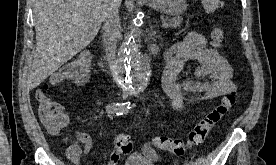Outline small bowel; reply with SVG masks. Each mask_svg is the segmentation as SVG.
<instances>
[{
	"label": "small bowel",
	"instance_id": "c3829d8e",
	"mask_svg": "<svg viewBox=\"0 0 276 165\" xmlns=\"http://www.w3.org/2000/svg\"><path fill=\"white\" fill-rule=\"evenodd\" d=\"M187 61L198 63L195 69V79L177 81V76ZM165 71L162 86L171 100L172 107L181 111L186 102H200L235 92L237 89L232 76L233 70L225 57L214 47H211L206 37L199 32L188 33L181 41L175 43L165 54ZM77 143L69 148V157L78 162L82 153L92 148L91 137L83 132L75 133ZM79 144L83 145V150ZM151 148L146 146V150ZM156 158L155 157L153 159ZM120 154L114 151L107 165H117Z\"/></svg>",
	"mask_w": 276,
	"mask_h": 165
}]
</instances>
